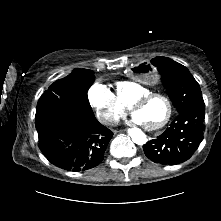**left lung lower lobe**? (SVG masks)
Returning <instances> with one entry per match:
<instances>
[{
  "label": "left lung lower lobe",
  "mask_w": 221,
  "mask_h": 221,
  "mask_svg": "<svg viewBox=\"0 0 221 221\" xmlns=\"http://www.w3.org/2000/svg\"><path fill=\"white\" fill-rule=\"evenodd\" d=\"M204 119V105L179 112L163 134L143 146L145 155L153 162L164 165L185 162L203 140Z\"/></svg>",
  "instance_id": "obj_1"
}]
</instances>
